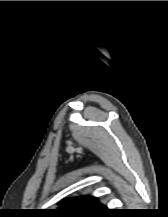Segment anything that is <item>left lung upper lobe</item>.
I'll use <instances>...</instances> for the list:
<instances>
[{"instance_id":"1","label":"left lung upper lobe","mask_w":168,"mask_h":217,"mask_svg":"<svg viewBox=\"0 0 168 217\" xmlns=\"http://www.w3.org/2000/svg\"><path fill=\"white\" fill-rule=\"evenodd\" d=\"M62 207L51 213L57 217H88L104 212V206L94 196L76 197L63 200Z\"/></svg>"}]
</instances>
